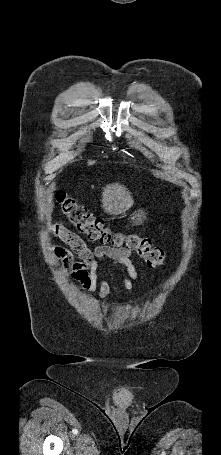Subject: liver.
I'll list each match as a JSON object with an SVG mask.
<instances>
[{
	"label": "liver",
	"instance_id": "obj_1",
	"mask_svg": "<svg viewBox=\"0 0 221 455\" xmlns=\"http://www.w3.org/2000/svg\"><path fill=\"white\" fill-rule=\"evenodd\" d=\"M102 208L111 215H119L129 210L134 200L129 190L118 183L108 184L102 193Z\"/></svg>",
	"mask_w": 221,
	"mask_h": 455
}]
</instances>
